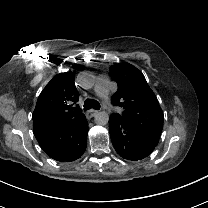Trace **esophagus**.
Masks as SVG:
<instances>
[{"mask_svg": "<svg viewBox=\"0 0 208 208\" xmlns=\"http://www.w3.org/2000/svg\"><path fill=\"white\" fill-rule=\"evenodd\" d=\"M97 113H98V110H94V109L88 110V112H87V118H92V117H94Z\"/></svg>", "mask_w": 208, "mask_h": 208, "instance_id": "esophagus-1", "label": "esophagus"}]
</instances>
